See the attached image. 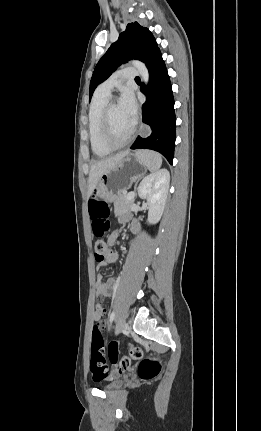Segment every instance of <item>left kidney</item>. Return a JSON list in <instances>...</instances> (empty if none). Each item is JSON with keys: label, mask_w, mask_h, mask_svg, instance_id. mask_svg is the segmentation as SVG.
<instances>
[{"label": "left kidney", "mask_w": 261, "mask_h": 431, "mask_svg": "<svg viewBox=\"0 0 261 431\" xmlns=\"http://www.w3.org/2000/svg\"><path fill=\"white\" fill-rule=\"evenodd\" d=\"M170 174L167 169H160L146 176L140 183L138 194L147 201L148 223L156 224L160 221L168 195Z\"/></svg>", "instance_id": "left-kidney-1"}]
</instances>
